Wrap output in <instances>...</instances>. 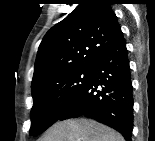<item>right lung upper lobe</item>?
<instances>
[{
  "instance_id": "1",
  "label": "right lung upper lobe",
  "mask_w": 155,
  "mask_h": 141,
  "mask_svg": "<svg viewBox=\"0 0 155 141\" xmlns=\"http://www.w3.org/2000/svg\"><path fill=\"white\" fill-rule=\"evenodd\" d=\"M121 33L108 0H82L44 36L38 49L31 88L54 75L94 67Z\"/></svg>"
}]
</instances>
